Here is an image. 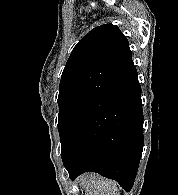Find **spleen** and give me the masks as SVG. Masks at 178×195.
<instances>
[{"mask_svg": "<svg viewBox=\"0 0 178 195\" xmlns=\"http://www.w3.org/2000/svg\"><path fill=\"white\" fill-rule=\"evenodd\" d=\"M80 184L89 195H120L117 184L97 174H88L81 178ZM87 194V195H88Z\"/></svg>", "mask_w": 178, "mask_h": 195, "instance_id": "obj_1", "label": "spleen"}]
</instances>
